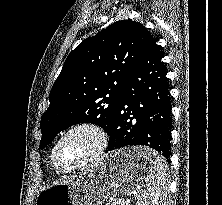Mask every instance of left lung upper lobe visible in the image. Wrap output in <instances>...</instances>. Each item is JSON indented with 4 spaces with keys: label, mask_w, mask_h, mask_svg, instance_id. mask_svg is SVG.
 I'll list each match as a JSON object with an SVG mask.
<instances>
[{
    "label": "left lung upper lobe",
    "mask_w": 222,
    "mask_h": 205,
    "mask_svg": "<svg viewBox=\"0 0 222 205\" xmlns=\"http://www.w3.org/2000/svg\"><path fill=\"white\" fill-rule=\"evenodd\" d=\"M150 36L143 24L120 20L86 38L69 54L40 122L39 149L78 123H92L109 133L126 78Z\"/></svg>",
    "instance_id": "left-lung-upper-lobe-1"
}]
</instances>
